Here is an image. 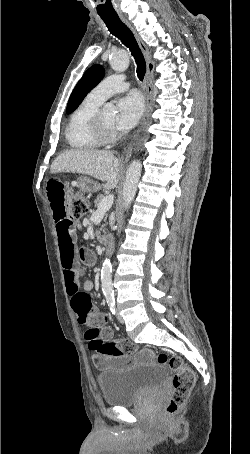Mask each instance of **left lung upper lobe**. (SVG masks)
<instances>
[{
	"label": "left lung upper lobe",
	"instance_id": "obj_1",
	"mask_svg": "<svg viewBox=\"0 0 250 454\" xmlns=\"http://www.w3.org/2000/svg\"><path fill=\"white\" fill-rule=\"evenodd\" d=\"M104 69L101 65L90 67L75 86L67 104L66 113L73 112L83 98L101 81Z\"/></svg>",
	"mask_w": 250,
	"mask_h": 454
}]
</instances>
